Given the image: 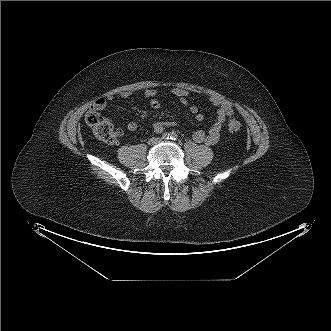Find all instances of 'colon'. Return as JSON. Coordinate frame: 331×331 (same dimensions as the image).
<instances>
[{
    "label": "colon",
    "instance_id": "colon-1",
    "mask_svg": "<svg viewBox=\"0 0 331 331\" xmlns=\"http://www.w3.org/2000/svg\"><path fill=\"white\" fill-rule=\"evenodd\" d=\"M85 119L87 125L91 128L94 135L103 142L113 144L121 135V131L114 128L110 119L101 115L97 110H89ZM241 129L242 125L240 121L236 117L230 116L228 119V130L231 133L236 134L240 132Z\"/></svg>",
    "mask_w": 331,
    "mask_h": 331
}]
</instances>
